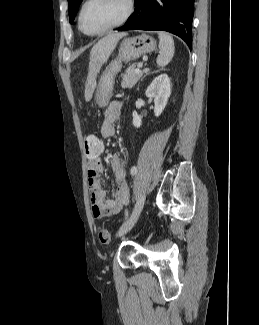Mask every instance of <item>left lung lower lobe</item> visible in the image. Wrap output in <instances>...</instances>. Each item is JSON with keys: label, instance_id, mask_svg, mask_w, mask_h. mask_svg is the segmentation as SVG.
Returning a JSON list of instances; mask_svg holds the SVG:
<instances>
[{"label": "left lung lower lobe", "instance_id": "obj_1", "mask_svg": "<svg viewBox=\"0 0 259 325\" xmlns=\"http://www.w3.org/2000/svg\"><path fill=\"white\" fill-rule=\"evenodd\" d=\"M195 0H135L132 16L118 31L163 30L182 38L191 48Z\"/></svg>", "mask_w": 259, "mask_h": 325}]
</instances>
